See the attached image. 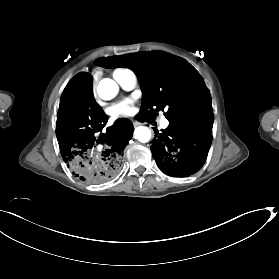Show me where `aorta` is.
Segmentation results:
<instances>
[{
    "label": "aorta",
    "mask_w": 279,
    "mask_h": 279,
    "mask_svg": "<svg viewBox=\"0 0 279 279\" xmlns=\"http://www.w3.org/2000/svg\"><path fill=\"white\" fill-rule=\"evenodd\" d=\"M119 91V87L115 81L109 78L101 80L97 87V93L103 100L113 99ZM134 136L142 143H146L151 138V131L148 127L139 126L134 131Z\"/></svg>",
    "instance_id": "obj_1"
}]
</instances>
